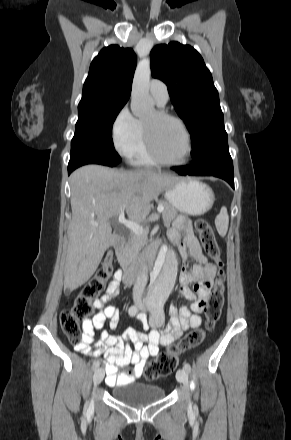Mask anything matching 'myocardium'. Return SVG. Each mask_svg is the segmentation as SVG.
Returning a JSON list of instances; mask_svg holds the SVG:
<instances>
[{"instance_id":"myocardium-1","label":"myocardium","mask_w":291,"mask_h":440,"mask_svg":"<svg viewBox=\"0 0 291 440\" xmlns=\"http://www.w3.org/2000/svg\"><path fill=\"white\" fill-rule=\"evenodd\" d=\"M156 114L159 118L172 120V121L176 122L181 127V129L184 132L185 137H186L187 153H186L185 158L179 162H170V161L165 160L161 156V154L159 153V151L157 150V148L154 144L151 129L143 122L144 138H145L146 146H147V149H148L150 155L152 156V158L156 162H158L159 164H161L163 166H167V167H180V166L187 164V162L189 161V159L192 155V152H193V145H192L191 133H190L189 129L187 128L186 124L184 123V121L180 117H178L174 114H171L165 110H162V109L156 110Z\"/></svg>"}]
</instances>
